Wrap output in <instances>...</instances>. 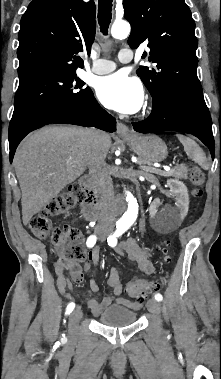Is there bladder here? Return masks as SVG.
<instances>
[{"label": "bladder", "instance_id": "obj_1", "mask_svg": "<svg viewBox=\"0 0 221 379\" xmlns=\"http://www.w3.org/2000/svg\"><path fill=\"white\" fill-rule=\"evenodd\" d=\"M137 319V314L134 310L121 306L112 305L106 308L98 317V321L111 327H122L133 324Z\"/></svg>", "mask_w": 221, "mask_h": 379}]
</instances>
